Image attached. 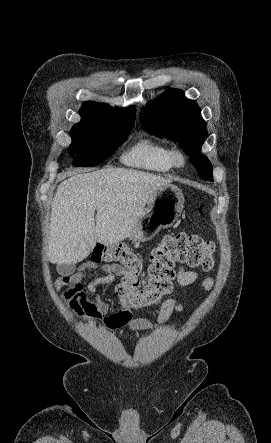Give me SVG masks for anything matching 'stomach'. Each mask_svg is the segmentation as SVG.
<instances>
[{
    "instance_id": "stomach-1",
    "label": "stomach",
    "mask_w": 271,
    "mask_h": 443,
    "mask_svg": "<svg viewBox=\"0 0 271 443\" xmlns=\"http://www.w3.org/2000/svg\"><path fill=\"white\" fill-rule=\"evenodd\" d=\"M184 204V196L177 186H161L154 190L147 202V210L137 220L130 235L132 241H148L162 227H170L178 220Z\"/></svg>"
}]
</instances>
